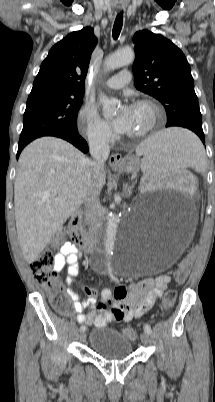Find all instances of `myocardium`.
<instances>
[{"instance_id": "obj_1", "label": "myocardium", "mask_w": 215, "mask_h": 402, "mask_svg": "<svg viewBox=\"0 0 215 402\" xmlns=\"http://www.w3.org/2000/svg\"><path fill=\"white\" fill-rule=\"evenodd\" d=\"M133 107H146L150 111V120L148 125L140 132L128 134L130 139H141L148 136L156 127L161 115L159 105L152 99L142 98L134 102Z\"/></svg>"}]
</instances>
